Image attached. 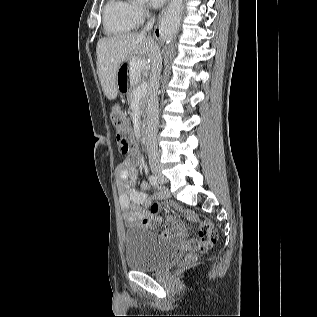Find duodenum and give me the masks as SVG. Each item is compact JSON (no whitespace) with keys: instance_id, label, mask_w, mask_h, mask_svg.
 <instances>
[{"instance_id":"410a0bca","label":"duodenum","mask_w":317,"mask_h":317,"mask_svg":"<svg viewBox=\"0 0 317 317\" xmlns=\"http://www.w3.org/2000/svg\"><path fill=\"white\" fill-rule=\"evenodd\" d=\"M148 136V130L146 125H141L140 127V139L141 140H146Z\"/></svg>"}]
</instances>
